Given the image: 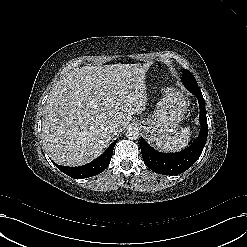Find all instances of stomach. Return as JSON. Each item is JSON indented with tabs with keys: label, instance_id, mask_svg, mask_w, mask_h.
Returning a JSON list of instances; mask_svg holds the SVG:
<instances>
[{
	"label": "stomach",
	"instance_id": "1",
	"mask_svg": "<svg viewBox=\"0 0 247 247\" xmlns=\"http://www.w3.org/2000/svg\"><path fill=\"white\" fill-rule=\"evenodd\" d=\"M187 113L184 95L173 88L164 91L163 98L156 106L152 116L141 121V127L149 141L168 138Z\"/></svg>",
	"mask_w": 247,
	"mask_h": 247
}]
</instances>
